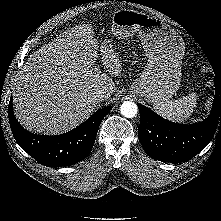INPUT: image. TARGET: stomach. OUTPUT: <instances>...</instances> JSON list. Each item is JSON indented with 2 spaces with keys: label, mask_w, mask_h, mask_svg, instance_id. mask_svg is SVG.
<instances>
[{
  "label": "stomach",
  "mask_w": 221,
  "mask_h": 221,
  "mask_svg": "<svg viewBox=\"0 0 221 221\" xmlns=\"http://www.w3.org/2000/svg\"><path fill=\"white\" fill-rule=\"evenodd\" d=\"M111 33L123 40L137 33L148 58L144 71L129 92L153 105L169 101L180 87L185 51L183 39L176 30L146 13L122 9L112 16Z\"/></svg>",
  "instance_id": "stomach-1"
}]
</instances>
